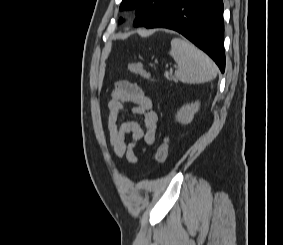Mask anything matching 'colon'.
<instances>
[{"label": "colon", "mask_w": 283, "mask_h": 245, "mask_svg": "<svg viewBox=\"0 0 283 245\" xmlns=\"http://www.w3.org/2000/svg\"><path fill=\"white\" fill-rule=\"evenodd\" d=\"M128 69L129 71L141 78H144L146 80H152L155 81L154 78L150 75L149 72H147L142 64L137 61H132L128 63ZM169 152V142L167 138H164L161 143L158 145L156 153H155V160L158 164H163L168 157Z\"/></svg>", "instance_id": "colon-1"}]
</instances>
